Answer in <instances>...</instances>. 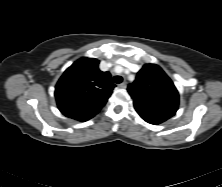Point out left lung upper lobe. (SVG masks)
Instances as JSON below:
<instances>
[{"mask_svg": "<svg viewBox=\"0 0 222 187\" xmlns=\"http://www.w3.org/2000/svg\"><path fill=\"white\" fill-rule=\"evenodd\" d=\"M127 90L137 110L173 116L178 109L179 93L156 64H145Z\"/></svg>", "mask_w": 222, "mask_h": 187, "instance_id": "left-lung-upper-lobe-1", "label": "left lung upper lobe"}]
</instances>
